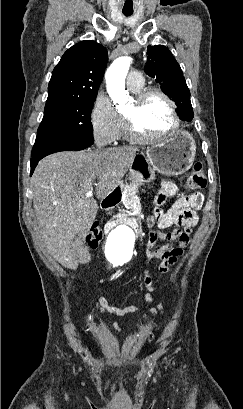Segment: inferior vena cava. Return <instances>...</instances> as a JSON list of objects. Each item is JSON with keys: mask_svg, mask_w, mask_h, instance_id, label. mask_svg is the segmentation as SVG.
Returning a JSON list of instances; mask_svg holds the SVG:
<instances>
[{"mask_svg": "<svg viewBox=\"0 0 243 409\" xmlns=\"http://www.w3.org/2000/svg\"><path fill=\"white\" fill-rule=\"evenodd\" d=\"M95 144L97 146V151H99L102 147L106 145L101 139L97 138L95 139Z\"/></svg>", "mask_w": 243, "mask_h": 409, "instance_id": "inferior-vena-cava-1", "label": "inferior vena cava"}]
</instances>
